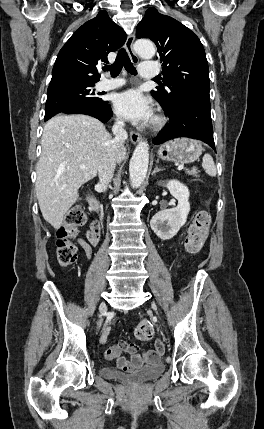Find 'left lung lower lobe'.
<instances>
[{"label": "left lung lower lobe", "instance_id": "1", "mask_svg": "<svg viewBox=\"0 0 264 429\" xmlns=\"http://www.w3.org/2000/svg\"><path fill=\"white\" fill-rule=\"evenodd\" d=\"M162 108L170 121L153 139L154 144L164 143L177 137H189L204 141L216 151L210 99L183 94L173 106Z\"/></svg>", "mask_w": 264, "mask_h": 429}]
</instances>
